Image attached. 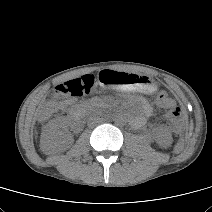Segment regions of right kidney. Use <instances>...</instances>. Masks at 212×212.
Instances as JSON below:
<instances>
[{"label": "right kidney", "mask_w": 212, "mask_h": 212, "mask_svg": "<svg viewBox=\"0 0 212 212\" xmlns=\"http://www.w3.org/2000/svg\"><path fill=\"white\" fill-rule=\"evenodd\" d=\"M62 139V131L59 129V127H56L54 130H46L44 137L41 139V147L54 148L62 142L68 146L70 139L68 137L65 139V141H62Z\"/></svg>", "instance_id": "ca27d5eb"}]
</instances>
